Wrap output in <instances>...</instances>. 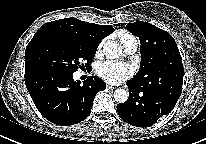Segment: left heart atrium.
<instances>
[{"mask_svg":"<svg viewBox=\"0 0 206 144\" xmlns=\"http://www.w3.org/2000/svg\"><path fill=\"white\" fill-rule=\"evenodd\" d=\"M97 74L107 83L120 84L133 75V69L125 63L106 61L98 66Z\"/></svg>","mask_w":206,"mask_h":144,"instance_id":"1","label":"left heart atrium"}]
</instances>
